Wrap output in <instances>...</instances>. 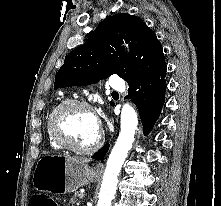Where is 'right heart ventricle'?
<instances>
[{
	"label": "right heart ventricle",
	"instance_id": "e07e8e85",
	"mask_svg": "<svg viewBox=\"0 0 221 206\" xmlns=\"http://www.w3.org/2000/svg\"><path fill=\"white\" fill-rule=\"evenodd\" d=\"M51 114V113H50ZM50 114L48 115L47 121H46V132H47V137H48V141L49 144L51 145V147H53L54 149H62V146H60L52 137L50 130H49V118H50Z\"/></svg>",
	"mask_w": 221,
	"mask_h": 206
}]
</instances>
